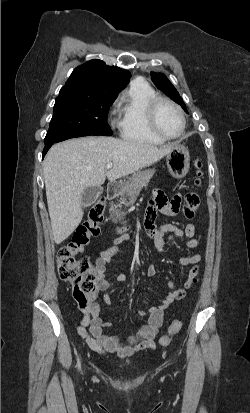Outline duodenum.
I'll return each mask as SVG.
<instances>
[{
    "label": "duodenum",
    "instance_id": "1",
    "mask_svg": "<svg viewBox=\"0 0 250 413\" xmlns=\"http://www.w3.org/2000/svg\"><path fill=\"white\" fill-rule=\"evenodd\" d=\"M116 189H117L116 184H114V183L108 184L107 189H106L107 197L108 198H113L116 194Z\"/></svg>",
    "mask_w": 250,
    "mask_h": 413
}]
</instances>
